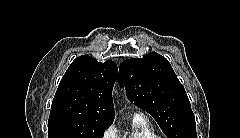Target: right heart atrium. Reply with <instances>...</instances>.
Here are the masks:
<instances>
[{"label":"right heart atrium","mask_w":240,"mask_h":138,"mask_svg":"<svg viewBox=\"0 0 240 138\" xmlns=\"http://www.w3.org/2000/svg\"><path fill=\"white\" fill-rule=\"evenodd\" d=\"M116 135H117L116 128L110 125L105 129L103 133V138H116Z\"/></svg>","instance_id":"1"}]
</instances>
